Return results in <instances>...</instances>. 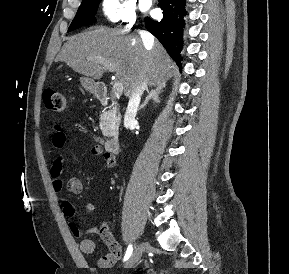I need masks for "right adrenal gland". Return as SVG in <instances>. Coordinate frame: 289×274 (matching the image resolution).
Returning <instances> with one entry per match:
<instances>
[{"label":"right adrenal gland","instance_id":"2a0ac1e0","mask_svg":"<svg viewBox=\"0 0 289 274\" xmlns=\"http://www.w3.org/2000/svg\"><path fill=\"white\" fill-rule=\"evenodd\" d=\"M164 87L165 85H158L154 90H152L146 97L144 103L139 107V110L144 109L150 100H153L155 103H160L161 101L159 95L161 92H163Z\"/></svg>","mask_w":289,"mask_h":274}]
</instances>
